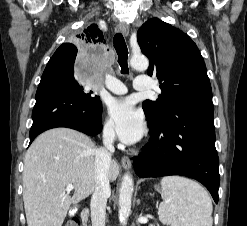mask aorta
Wrapping results in <instances>:
<instances>
[{
  "instance_id": "1",
  "label": "aorta",
  "mask_w": 247,
  "mask_h": 226,
  "mask_svg": "<svg viewBox=\"0 0 247 226\" xmlns=\"http://www.w3.org/2000/svg\"><path fill=\"white\" fill-rule=\"evenodd\" d=\"M130 65L137 70H146L149 61L145 56H133L130 59ZM134 183L129 174H125L121 183L119 194V219L122 225H125L131 212V200L133 195Z\"/></svg>"
}]
</instances>
